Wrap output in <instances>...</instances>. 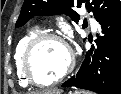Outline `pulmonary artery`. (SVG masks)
Returning a JSON list of instances; mask_svg holds the SVG:
<instances>
[{
    "instance_id": "obj_1",
    "label": "pulmonary artery",
    "mask_w": 121,
    "mask_h": 94,
    "mask_svg": "<svg viewBox=\"0 0 121 94\" xmlns=\"http://www.w3.org/2000/svg\"><path fill=\"white\" fill-rule=\"evenodd\" d=\"M90 23H91V26L93 28V30H97L99 25H98V22L94 19H90Z\"/></svg>"
}]
</instances>
